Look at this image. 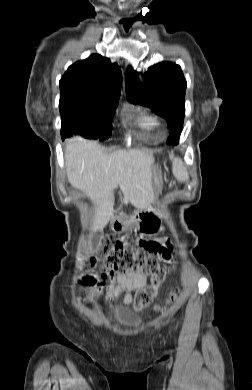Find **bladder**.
<instances>
[{
	"mask_svg": "<svg viewBox=\"0 0 252 390\" xmlns=\"http://www.w3.org/2000/svg\"><path fill=\"white\" fill-rule=\"evenodd\" d=\"M108 320L112 324H117L129 328H139L141 322L132 314L125 311H116L108 315Z\"/></svg>",
	"mask_w": 252,
	"mask_h": 390,
	"instance_id": "1",
	"label": "bladder"
}]
</instances>
